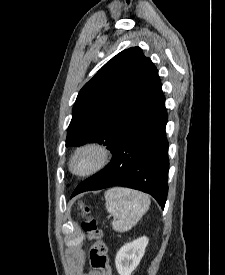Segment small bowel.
Listing matches in <instances>:
<instances>
[{
    "label": "small bowel",
    "mask_w": 225,
    "mask_h": 275,
    "mask_svg": "<svg viewBox=\"0 0 225 275\" xmlns=\"http://www.w3.org/2000/svg\"><path fill=\"white\" fill-rule=\"evenodd\" d=\"M86 275H99V273L95 270H91Z\"/></svg>",
    "instance_id": "obj_1"
}]
</instances>
